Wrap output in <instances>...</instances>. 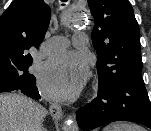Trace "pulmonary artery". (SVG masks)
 <instances>
[{"label":"pulmonary artery","mask_w":151,"mask_h":131,"mask_svg":"<svg viewBox=\"0 0 151 131\" xmlns=\"http://www.w3.org/2000/svg\"><path fill=\"white\" fill-rule=\"evenodd\" d=\"M72 42L78 48H84L87 44V36L84 33H77L73 36ZM67 45V41L63 37H56L48 41L41 49L43 54H47L58 49H62Z\"/></svg>","instance_id":"obj_1"}]
</instances>
